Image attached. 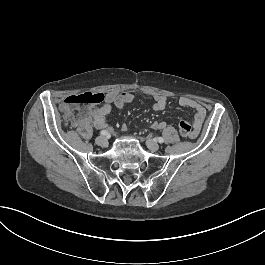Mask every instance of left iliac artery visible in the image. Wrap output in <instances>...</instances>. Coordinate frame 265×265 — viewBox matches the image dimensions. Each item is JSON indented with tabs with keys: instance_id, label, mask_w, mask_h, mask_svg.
Wrapping results in <instances>:
<instances>
[{
	"instance_id": "left-iliac-artery-1",
	"label": "left iliac artery",
	"mask_w": 265,
	"mask_h": 265,
	"mask_svg": "<svg viewBox=\"0 0 265 265\" xmlns=\"http://www.w3.org/2000/svg\"><path fill=\"white\" fill-rule=\"evenodd\" d=\"M157 140H158L159 143H163L164 142V139L162 137H159Z\"/></svg>"
}]
</instances>
